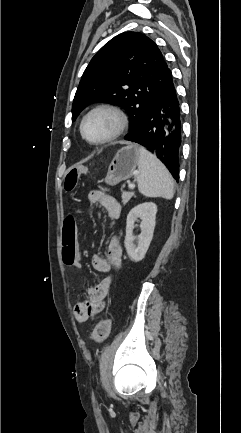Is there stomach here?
<instances>
[{
  "label": "stomach",
  "instance_id": "0dacf381",
  "mask_svg": "<svg viewBox=\"0 0 241 433\" xmlns=\"http://www.w3.org/2000/svg\"><path fill=\"white\" fill-rule=\"evenodd\" d=\"M139 162V147L127 145L121 148L111 161L105 183L114 186L133 176Z\"/></svg>",
  "mask_w": 241,
  "mask_h": 433
}]
</instances>
